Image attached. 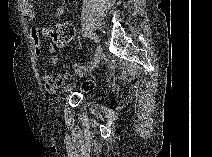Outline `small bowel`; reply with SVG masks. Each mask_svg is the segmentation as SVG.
Instances as JSON below:
<instances>
[{"instance_id": "c3829d8e", "label": "small bowel", "mask_w": 212, "mask_h": 157, "mask_svg": "<svg viewBox=\"0 0 212 157\" xmlns=\"http://www.w3.org/2000/svg\"><path fill=\"white\" fill-rule=\"evenodd\" d=\"M22 13L25 22L29 25L36 17V11L30 0H23L21 2ZM53 14L56 17H62L64 15V8L62 6H56L53 9ZM29 35L33 43V51L36 57H40L43 53L41 38H47L50 35V29L48 27H43L39 29L36 25L29 26ZM48 53L51 56V62L53 64L57 63L56 48L53 44L48 46ZM45 88L48 91L53 92L55 90V84L53 83V78L49 74H45L42 77Z\"/></svg>"}]
</instances>
